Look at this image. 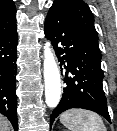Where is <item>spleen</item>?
Here are the masks:
<instances>
[{
  "label": "spleen",
  "mask_w": 117,
  "mask_h": 131,
  "mask_svg": "<svg viewBox=\"0 0 117 131\" xmlns=\"http://www.w3.org/2000/svg\"><path fill=\"white\" fill-rule=\"evenodd\" d=\"M60 122L69 131H106L102 118L95 112L71 109L61 114Z\"/></svg>",
  "instance_id": "1"
}]
</instances>
